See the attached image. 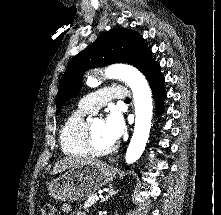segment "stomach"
Instances as JSON below:
<instances>
[{"label":"stomach","instance_id":"1","mask_svg":"<svg viewBox=\"0 0 221 215\" xmlns=\"http://www.w3.org/2000/svg\"><path fill=\"white\" fill-rule=\"evenodd\" d=\"M115 173V169L105 162L92 160L51 181L49 195L60 201L85 200L112 181Z\"/></svg>","mask_w":221,"mask_h":215}]
</instances>
